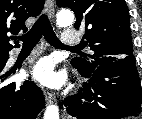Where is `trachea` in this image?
Wrapping results in <instances>:
<instances>
[{"label": "trachea", "mask_w": 142, "mask_h": 119, "mask_svg": "<svg viewBox=\"0 0 142 119\" xmlns=\"http://www.w3.org/2000/svg\"><path fill=\"white\" fill-rule=\"evenodd\" d=\"M42 36L50 45L56 48L79 49V46H65L60 42L46 14H42L30 31L19 38L23 41V47L33 48Z\"/></svg>", "instance_id": "trachea-1"}]
</instances>
